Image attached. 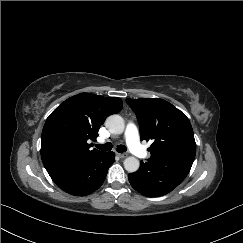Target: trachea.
I'll use <instances>...</instances> for the list:
<instances>
[{
	"instance_id": "3493384b",
	"label": "trachea",
	"mask_w": 243,
	"mask_h": 243,
	"mask_svg": "<svg viewBox=\"0 0 243 243\" xmlns=\"http://www.w3.org/2000/svg\"><path fill=\"white\" fill-rule=\"evenodd\" d=\"M96 147L100 150L110 151L112 149L113 145L110 142H107L105 144L96 145ZM116 150L119 153H123L124 151L127 150V148L124 145H118Z\"/></svg>"
}]
</instances>
